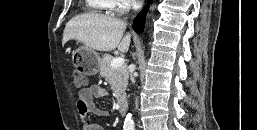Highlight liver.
<instances>
[{
	"mask_svg": "<svg viewBox=\"0 0 257 130\" xmlns=\"http://www.w3.org/2000/svg\"><path fill=\"white\" fill-rule=\"evenodd\" d=\"M126 26L125 21L106 15H77L66 24L62 45L73 39L92 50L107 52L118 48L120 52H127L131 34L128 33L122 38Z\"/></svg>",
	"mask_w": 257,
	"mask_h": 130,
	"instance_id": "1",
	"label": "liver"
}]
</instances>
